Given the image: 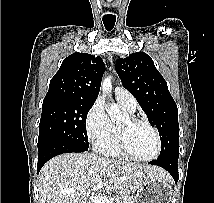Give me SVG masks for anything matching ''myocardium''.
<instances>
[{
  "label": "myocardium",
  "mask_w": 214,
  "mask_h": 203,
  "mask_svg": "<svg viewBox=\"0 0 214 203\" xmlns=\"http://www.w3.org/2000/svg\"><path fill=\"white\" fill-rule=\"evenodd\" d=\"M136 124H143L148 126L154 133L155 139H156V149L155 152L146 158H140L132 154L128 147V141H127V131H128V126L131 125H136ZM118 142H119V147L123 155L133 161L137 162H151L154 159H156L160 152H161V147H162V142H161V136L158 131V129L152 125L148 120L143 119V118H138L132 115H129L127 117V125L124 124H119V134H118Z\"/></svg>",
  "instance_id": "f54148a6"
}]
</instances>
